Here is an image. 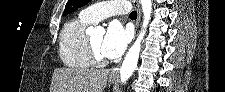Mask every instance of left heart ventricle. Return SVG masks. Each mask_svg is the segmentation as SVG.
Returning <instances> with one entry per match:
<instances>
[{"mask_svg":"<svg viewBox=\"0 0 225 92\" xmlns=\"http://www.w3.org/2000/svg\"><path fill=\"white\" fill-rule=\"evenodd\" d=\"M90 40H91V43H92L93 47L98 52V54L102 58H104V56L101 53V45H102V41H103V35H95V36L91 37Z\"/></svg>","mask_w":225,"mask_h":92,"instance_id":"left-heart-ventricle-1","label":"left heart ventricle"}]
</instances>
